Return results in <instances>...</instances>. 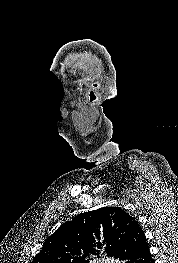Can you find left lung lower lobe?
<instances>
[{
	"instance_id": "1",
	"label": "left lung lower lobe",
	"mask_w": 178,
	"mask_h": 263,
	"mask_svg": "<svg viewBox=\"0 0 178 263\" xmlns=\"http://www.w3.org/2000/svg\"><path fill=\"white\" fill-rule=\"evenodd\" d=\"M121 263H154L144 232L134 218L114 256Z\"/></svg>"
}]
</instances>
